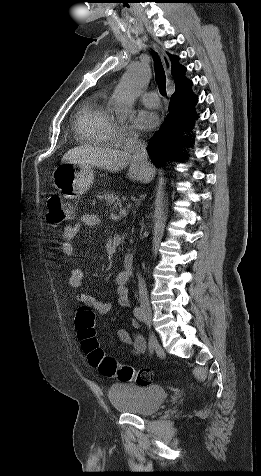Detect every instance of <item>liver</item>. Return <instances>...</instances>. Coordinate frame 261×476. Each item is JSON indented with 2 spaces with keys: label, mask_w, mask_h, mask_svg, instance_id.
Listing matches in <instances>:
<instances>
[{
  "label": "liver",
  "mask_w": 261,
  "mask_h": 476,
  "mask_svg": "<svg viewBox=\"0 0 261 476\" xmlns=\"http://www.w3.org/2000/svg\"><path fill=\"white\" fill-rule=\"evenodd\" d=\"M62 163L98 167L110 172H118L129 166L127 176L132 180L150 182L155 175V168L136 160L131 153L109 147L79 146L64 154Z\"/></svg>",
  "instance_id": "1"
}]
</instances>
